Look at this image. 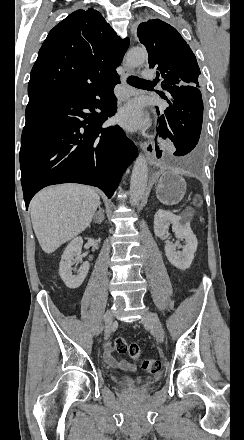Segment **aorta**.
Masks as SVG:
<instances>
[{"instance_id": "aorta-1", "label": "aorta", "mask_w": 244, "mask_h": 440, "mask_svg": "<svg viewBox=\"0 0 244 440\" xmlns=\"http://www.w3.org/2000/svg\"><path fill=\"white\" fill-rule=\"evenodd\" d=\"M147 51L143 48L134 47L127 53L126 62L133 69L147 60ZM148 181V164L145 156L141 153L137 157L131 174L130 203L137 205L144 195Z\"/></svg>"}]
</instances>
